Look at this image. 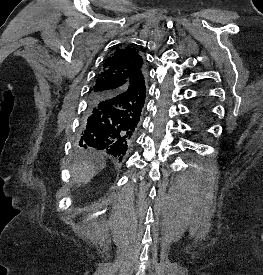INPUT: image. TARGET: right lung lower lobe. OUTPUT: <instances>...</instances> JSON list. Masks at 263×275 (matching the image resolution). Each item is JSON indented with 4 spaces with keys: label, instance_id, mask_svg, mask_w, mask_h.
Instances as JSON below:
<instances>
[{
    "label": "right lung lower lobe",
    "instance_id": "98d812e1",
    "mask_svg": "<svg viewBox=\"0 0 263 275\" xmlns=\"http://www.w3.org/2000/svg\"><path fill=\"white\" fill-rule=\"evenodd\" d=\"M139 77L144 82L142 69ZM128 97L126 92L90 95L78 137L82 149L103 150L122 161L141 115L128 107Z\"/></svg>",
    "mask_w": 263,
    "mask_h": 275
}]
</instances>
